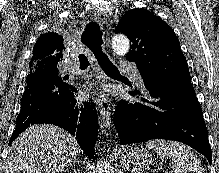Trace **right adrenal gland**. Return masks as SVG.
Wrapping results in <instances>:
<instances>
[{
    "mask_svg": "<svg viewBox=\"0 0 219 173\" xmlns=\"http://www.w3.org/2000/svg\"><path fill=\"white\" fill-rule=\"evenodd\" d=\"M70 169L73 171V173H77L76 168H75V162H73L72 164H70V168H67V169L64 171V173H66V172L69 171Z\"/></svg>",
    "mask_w": 219,
    "mask_h": 173,
    "instance_id": "obj_1",
    "label": "right adrenal gland"
}]
</instances>
